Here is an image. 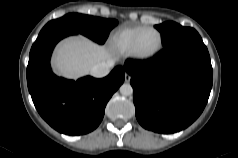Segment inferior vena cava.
Returning a JSON list of instances; mask_svg holds the SVG:
<instances>
[{"instance_id": "602c4592", "label": "inferior vena cava", "mask_w": 238, "mask_h": 158, "mask_svg": "<svg viewBox=\"0 0 238 158\" xmlns=\"http://www.w3.org/2000/svg\"><path fill=\"white\" fill-rule=\"evenodd\" d=\"M113 66V61L100 62L90 69V74L96 78H102L109 74L110 68Z\"/></svg>"}]
</instances>
